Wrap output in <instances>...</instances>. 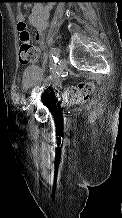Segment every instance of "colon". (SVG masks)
<instances>
[{
	"instance_id": "obj_1",
	"label": "colon",
	"mask_w": 122,
	"mask_h": 218,
	"mask_svg": "<svg viewBox=\"0 0 122 218\" xmlns=\"http://www.w3.org/2000/svg\"><path fill=\"white\" fill-rule=\"evenodd\" d=\"M20 38L19 58L21 63L27 64L36 61L38 52L31 42V36L27 24L20 21L17 24ZM94 92V85L90 82H82L77 86L68 87L63 91L62 98L67 103H78L88 100Z\"/></svg>"
}]
</instances>
